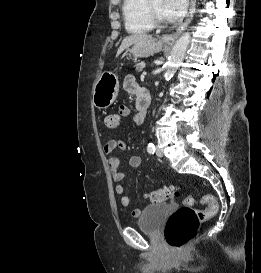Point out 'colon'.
<instances>
[{"label":"colon","mask_w":261,"mask_h":273,"mask_svg":"<svg viewBox=\"0 0 261 273\" xmlns=\"http://www.w3.org/2000/svg\"><path fill=\"white\" fill-rule=\"evenodd\" d=\"M122 115L121 112L120 114H109L105 116V126L110 130L118 129ZM174 195V186L154 189L147 194L149 200L153 203L170 200ZM200 202L207 206L206 209H194L193 206L196 203V197L188 195L184 200V205L178 208L168 219L164 231L165 239L168 245L175 251H183L196 236L200 224L218 212V203L214 196L204 195L200 199Z\"/></svg>","instance_id":"obj_1"}]
</instances>
